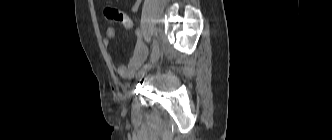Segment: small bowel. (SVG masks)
<instances>
[{"label":"small bowel","mask_w":332,"mask_h":140,"mask_svg":"<svg viewBox=\"0 0 332 140\" xmlns=\"http://www.w3.org/2000/svg\"><path fill=\"white\" fill-rule=\"evenodd\" d=\"M142 0H136L131 7V11L136 13L139 10L140 3ZM116 36V31L113 27L108 26L106 28V36L103 38V44L108 47L110 42ZM147 57V51L142 43L141 39L138 38L134 52L125 65H120L117 68V74L123 79H132L136 75V71L141 67Z\"/></svg>","instance_id":"obj_1"}]
</instances>
